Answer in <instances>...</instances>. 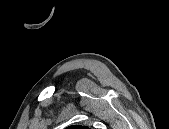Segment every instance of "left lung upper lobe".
I'll return each mask as SVG.
<instances>
[{"label":"left lung upper lobe","instance_id":"1","mask_svg":"<svg viewBox=\"0 0 169 129\" xmlns=\"http://www.w3.org/2000/svg\"><path fill=\"white\" fill-rule=\"evenodd\" d=\"M68 129H82V126L74 125V126L68 127Z\"/></svg>","mask_w":169,"mask_h":129}]
</instances>
